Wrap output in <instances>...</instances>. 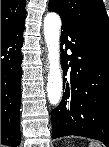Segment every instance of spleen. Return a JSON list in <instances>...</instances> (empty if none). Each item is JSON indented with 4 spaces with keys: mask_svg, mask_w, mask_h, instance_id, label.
Masks as SVG:
<instances>
[{
    "mask_svg": "<svg viewBox=\"0 0 109 147\" xmlns=\"http://www.w3.org/2000/svg\"><path fill=\"white\" fill-rule=\"evenodd\" d=\"M89 147H102V145L99 142H91Z\"/></svg>",
    "mask_w": 109,
    "mask_h": 147,
    "instance_id": "3e777b00",
    "label": "spleen"
}]
</instances>
